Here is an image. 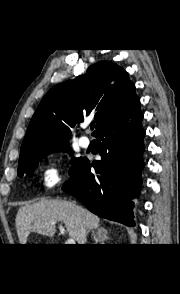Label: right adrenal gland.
<instances>
[{
  "instance_id": "right-adrenal-gland-1",
  "label": "right adrenal gland",
  "mask_w": 180,
  "mask_h": 294,
  "mask_svg": "<svg viewBox=\"0 0 180 294\" xmlns=\"http://www.w3.org/2000/svg\"><path fill=\"white\" fill-rule=\"evenodd\" d=\"M108 231L104 227H99L96 232L93 233L94 244H104V241L108 239Z\"/></svg>"
}]
</instances>
